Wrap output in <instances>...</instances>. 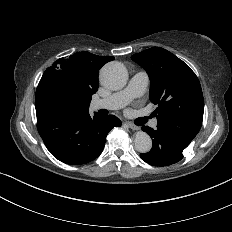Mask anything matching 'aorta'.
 <instances>
[{
    "instance_id": "1",
    "label": "aorta",
    "mask_w": 232,
    "mask_h": 232,
    "mask_svg": "<svg viewBox=\"0 0 232 232\" xmlns=\"http://www.w3.org/2000/svg\"><path fill=\"white\" fill-rule=\"evenodd\" d=\"M127 80V69L120 62H109L100 70V81L103 86L110 90L122 89L126 85ZM134 144L138 152L147 153L152 147V140L147 133L138 131L135 134Z\"/></svg>"
}]
</instances>
